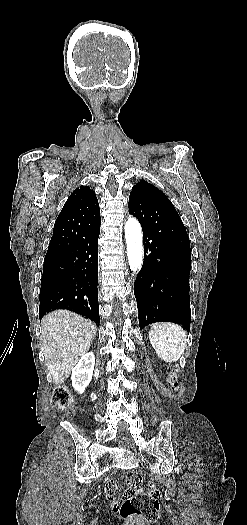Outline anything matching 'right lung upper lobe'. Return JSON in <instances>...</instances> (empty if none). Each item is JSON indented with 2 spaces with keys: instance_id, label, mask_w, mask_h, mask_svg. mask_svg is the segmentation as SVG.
I'll return each instance as SVG.
<instances>
[{
  "instance_id": "1",
  "label": "right lung upper lobe",
  "mask_w": 247,
  "mask_h": 525,
  "mask_svg": "<svg viewBox=\"0 0 247 525\" xmlns=\"http://www.w3.org/2000/svg\"><path fill=\"white\" fill-rule=\"evenodd\" d=\"M100 209L95 192L80 186L69 196L57 217L46 257L62 253L100 230Z\"/></svg>"
}]
</instances>
